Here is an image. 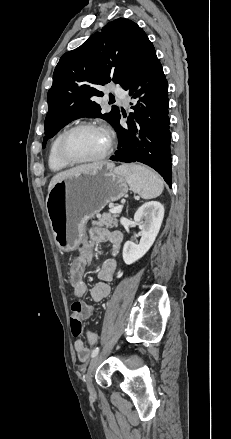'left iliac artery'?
I'll use <instances>...</instances> for the list:
<instances>
[{
  "instance_id": "44dca946",
  "label": "left iliac artery",
  "mask_w": 231,
  "mask_h": 439,
  "mask_svg": "<svg viewBox=\"0 0 231 439\" xmlns=\"http://www.w3.org/2000/svg\"><path fill=\"white\" fill-rule=\"evenodd\" d=\"M99 353V347L95 348L91 354V357H95Z\"/></svg>"
}]
</instances>
